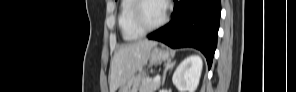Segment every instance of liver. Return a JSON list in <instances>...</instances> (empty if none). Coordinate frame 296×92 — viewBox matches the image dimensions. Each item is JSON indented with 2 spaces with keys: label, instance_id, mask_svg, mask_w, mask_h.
<instances>
[{
  "label": "liver",
  "instance_id": "6515ba94",
  "mask_svg": "<svg viewBox=\"0 0 296 92\" xmlns=\"http://www.w3.org/2000/svg\"><path fill=\"white\" fill-rule=\"evenodd\" d=\"M155 41L140 40L122 45L114 54L111 62L110 92L124 85L130 77L147 63Z\"/></svg>",
  "mask_w": 296,
  "mask_h": 92
}]
</instances>
